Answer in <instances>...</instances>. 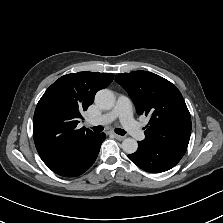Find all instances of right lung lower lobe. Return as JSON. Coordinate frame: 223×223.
<instances>
[{"label": "right lung lower lobe", "instance_id": "98d812e1", "mask_svg": "<svg viewBox=\"0 0 223 223\" xmlns=\"http://www.w3.org/2000/svg\"><path fill=\"white\" fill-rule=\"evenodd\" d=\"M104 133H97L92 140H90L80 158L67 169L61 170L56 174L64 177H75L81 175L88 170L95 162L100 150V146L105 139Z\"/></svg>", "mask_w": 223, "mask_h": 223}]
</instances>
